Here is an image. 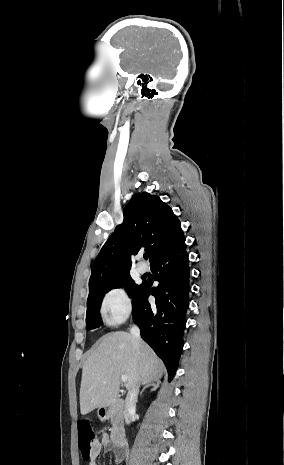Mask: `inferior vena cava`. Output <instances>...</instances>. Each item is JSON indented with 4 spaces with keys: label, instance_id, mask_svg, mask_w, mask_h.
<instances>
[{
    "label": "inferior vena cava",
    "instance_id": "obj_1",
    "mask_svg": "<svg viewBox=\"0 0 284 465\" xmlns=\"http://www.w3.org/2000/svg\"><path fill=\"white\" fill-rule=\"evenodd\" d=\"M130 333L132 337H136V339H140V331L138 327H132ZM138 393H139L138 387H136V389H133V391H129L125 399L124 419L127 425L131 423L132 415H134L136 411Z\"/></svg>",
    "mask_w": 284,
    "mask_h": 465
}]
</instances>
